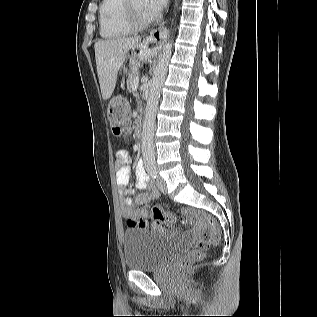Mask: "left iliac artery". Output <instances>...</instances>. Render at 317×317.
<instances>
[{
  "label": "left iliac artery",
  "mask_w": 317,
  "mask_h": 317,
  "mask_svg": "<svg viewBox=\"0 0 317 317\" xmlns=\"http://www.w3.org/2000/svg\"><path fill=\"white\" fill-rule=\"evenodd\" d=\"M149 174L153 177V178H156L157 177V170H156V167L153 166L151 167L149 170H148Z\"/></svg>",
  "instance_id": "1"
}]
</instances>
